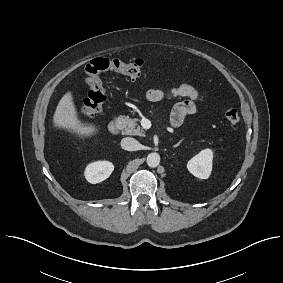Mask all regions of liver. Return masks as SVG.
<instances>
[{
  "label": "liver",
  "instance_id": "1",
  "mask_svg": "<svg viewBox=\"0 0 283 283\" xmlns=\"http://www.w3.org/2000/svg\"><path fill=\"white\" fill-rule=\"evenodd\" d=\"M52 122L53 128L65 130L79 138H89L98 132L94 125L79 119L71 91L66 92L60 99Z\"/></svg>",
  "mask_w": 283,
  "mask_h": 283
}]
</instances>
